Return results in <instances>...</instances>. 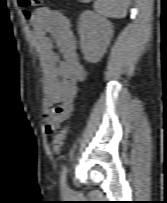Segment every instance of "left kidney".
Masks as SVG:
<instances>
[{"label": "left kidney", "instance_id": "1", "mask_svg": "<svg viewBox=\"0 0 167 203\" xmlns=\"http://www.w3.org/2000/svg\"><path fill=\"white\" fill-rule=\"evenodd\" d=\"M81 50L86 61L97 63L103 57L113 35V26L107 19L92 11L80 18Z\"/></svg>", "mask_w": 167, "mask_h": 203}]
</instances>
